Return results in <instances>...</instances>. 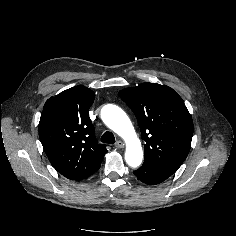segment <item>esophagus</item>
<instances>
[{"mask_svg":"<svg viewBox=\"0 0 236 236\" xmlns=\"http://www.w3.org/2000/svg\"><path fill=\"white\" fill-rule=\"evenodd\" d=\"M116 148H123L124 147V143L122 141H117L115 144Z\"/></svg>","mask_w":236,"mask_h":236,"instance_id":"34e87169","label":"esophagus"}]
</instances>
